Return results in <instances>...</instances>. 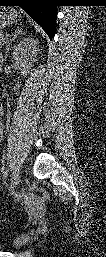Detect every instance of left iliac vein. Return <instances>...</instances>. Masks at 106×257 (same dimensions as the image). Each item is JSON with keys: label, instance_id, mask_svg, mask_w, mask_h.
<instances>
[{"label": "left iliac vein", "instance_id": "1", "mask_svg": "<svg viewBox=\"0 0 106 257\" xmlns=\"http://www.w3.org/2000/svg\"><path fill=\"white\" fill-rule=\"evenodd\" d=\"M20 169L19 167H16L13 172V177H12V183H11V188L14 190L16 186L20 182Z\"/></svg>", "mask_w": 106, "mask_h": 257}]
</instances>
